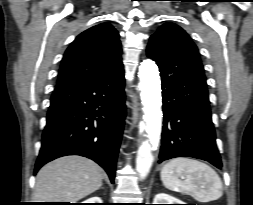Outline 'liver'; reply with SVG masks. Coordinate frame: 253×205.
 Wrapping results in <instances>:
<instances>
[{
  "mask_svg": "<svg viewBox=\"0 0 253 205\" xmlns=\"http://www.w3.org/2000/svg\"><path fill=\"white\" fill-rule=\"evenodd\" d=\"M102 185V169L81 156L58 158L43 166L36 177L34 199L38 202H70L92 194Z\"/></svg>",
  "mask_w": 253,
  "mask_h": 205,
  "instance_id": "obj_1",
  "label": "liver"
}]
</instances>
